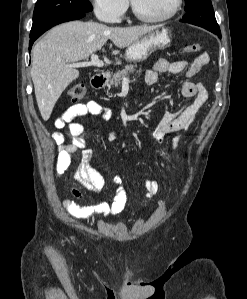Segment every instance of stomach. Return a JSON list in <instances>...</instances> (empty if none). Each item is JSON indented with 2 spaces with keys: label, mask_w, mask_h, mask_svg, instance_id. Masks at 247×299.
Returning <instances> with one entry per match:
<instances>
[{
  "label": "stomach",
  "mask_w": 247,
  "mask_h": 299,
  "mask_svg": "<svg viewBox=\"0 0 247 299\" xmlns=\"http://www.w3.org/2000/svg\"><path fill=\"white\" fill-rule=\"evenodd\" d=\"M171 38L170 29L165 26H159L131 44L125 52V59L129 62L144 61L154 51L169 47Z\"/></svg>",
  "instance_id": "obj_1"
}]
</instances>
